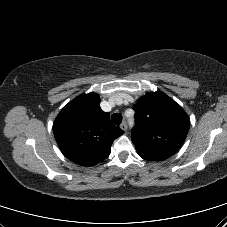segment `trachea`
Wrapping results in <instances>:
<instances>
[{"label": "trachea", "mask_w": 227, "mask_h": 227, "mask_svg": "<svg viewBox=\"0 0 227 227\" xmlns=\"http://www.w3.org/2000/svg\"><path fill=\"white\" fill-rule=\"evenodd\" d=\"M111 120L115 125H118L122 121V115L120 113H114L111 117Z\"/></svg>", "instance_id": "3493384b"}]
</instances>
